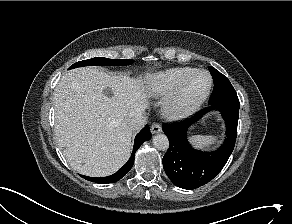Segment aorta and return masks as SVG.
Segmentation results:
<instances>
[{
  "label": "aorta",
  "instance_id": "obj_1",
  "mask_svg": "<svg viewBox=\"0 0 292 224\" xmlns=\"http://www.w3.org/2000/svg\"><path fill=\"white\" fill-rule=\"evenodd\" d=\"M153 145L156 149L165 151L169 148V140L164 134H157L153 137Z\"/></svg>",
  "mask_w": 292,
  "mask_h": 224
}]
</instances>
